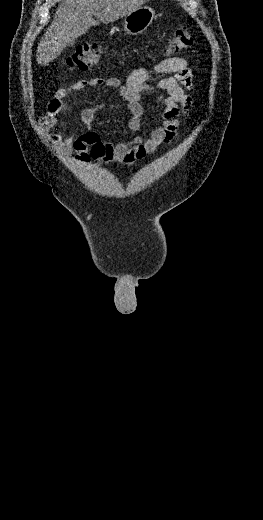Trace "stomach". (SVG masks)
<instances>
[{
  "instance_id": "obj_1",
  "label": "stomach",
  "mask_w": 263,
  "mask_h": 520,
  "mask_svg": "<svg viewBox=\"0 0 263 520\" xmlns=\"http://www.w3.org/2000/svg\"><path fill=\"white\" fill-rule=\"evenodd\" d=\"M155 11L149 6H140L128 13L124 18V30L129 35H138L144 32L155 19Z\"/></svg>"
}]
</instances>
